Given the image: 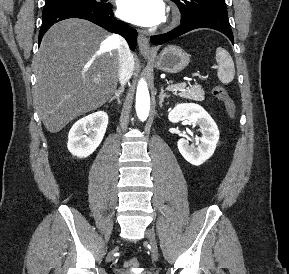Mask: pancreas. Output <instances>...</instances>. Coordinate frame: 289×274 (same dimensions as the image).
I'll list each match as a JSON object with an SVG mask.
<instances>
[{"mask_svg":"<svg viewBox=\"0 0 289 274\" xmlns=\"http://www.w3.org/2000/svg\"><path fill=\"white\" fill-rule=\"evenodd\" d=\"M176 85H178V84L171 85V86H176ZM177 92H179V93H177ZM174 93L176 95H179L180 97L194 100V101H203L205 98L204 97L205 92L201 88L200 85H192L190 87L181 86L180 89L174 91Z\"/></svg>","mask_w":289,"mask_h":274,"instance_id":"1","label":"pancreas"}]
</instances>
